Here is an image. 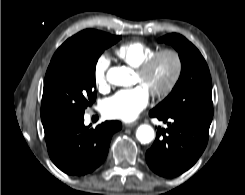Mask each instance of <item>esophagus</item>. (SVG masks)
I'll list each match as a JSON object with an SVG mask.
<instances>
[{"mask_svg":"<svg viewBox=\"0 0 245 195\" xmlns=\"http://www.w3.org/2000/svg\"><path fill=\"white\" fill-rule=\"evenodd\" d=\"M137 124H138L137 122H132V123L125 124V126L128 128H132V127H135Z\"/></svg>","mask_w":245,"mask_h":195,"instance_id":"esophagus-1","label":"esophagus"}]
</instances>
